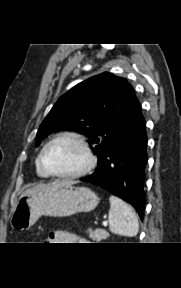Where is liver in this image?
<instances>
[{
    "instance_id": "1",
    "label": "liver",
    "mask_w": 181,
    "mask_h": 288,
    "mask_svg": "<svg viewBox=\"0 0 181 288\" xmlns=\"http://www.w3.org/2000/svg\"><path fill=\"white\" fill-rule=\"evenodd\" d=\"M60 182H62V183H67V184H68V183H71V184H74V183H75V182H73V181H60ZM46 186H47V185H45V184L36 185V186H34V187L26 190L22 195L30 194V193H36V192H38V191H40V190H43Z\"/></svg>"
}]
</instances>
